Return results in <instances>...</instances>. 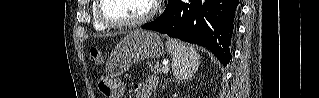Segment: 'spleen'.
I'll return each mask as SVG.
<instances>
[{"mask_svg":"<svg viewBox=\"0 0 319 98\" xmlns=\"http://www.w3.org/2000/svg\"><path fill=\"white\" fill-rule=\"evenodd\" d=\"M166 47L172 55V71L178 80H186L194 75L200 64V55L190 45L175 39H168Z\"/></svg>","mask_w":319,"mask_h":98,"instance_id":"1","label":"spleen"}]
</instances>
